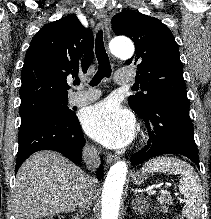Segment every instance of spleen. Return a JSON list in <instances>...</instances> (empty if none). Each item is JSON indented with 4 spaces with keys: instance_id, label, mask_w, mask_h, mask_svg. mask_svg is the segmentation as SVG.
Here are the masks:
<instances>
[{
    "instance_id": "3e777b00",
    "label": "spleen",
    "mask_w": 211,
    "mask_h": 219,
    "mask_svg": "<svg viewBox=\"0 0 211 219\" xmlns=\"http://www.w3.org/2000/svg\"><path fill=\"white\" fill-rule=\"evenodd\" d=\"M142 170L144 172L180 174L181 178L178 188L185 198L182 214L187 219H199L203 190L200 179L190 164L173 157H158L145 163Z\"/></svg>"
}]
</instances>
